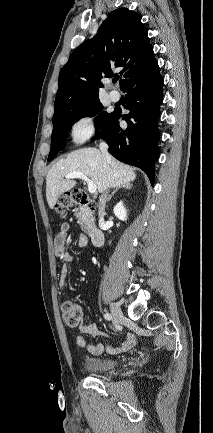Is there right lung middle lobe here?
Instances as JSON below:
<instances>
[{
  "mask_svg": "<svg viewBox=\"0 0 213 433\" xmlns=\"http://www.w3.org/2000/svg\"><path fill=\"white\" fill-rule=\"evenodd\" d=\"M103 109L99 97L83 103L77 104L63 110L59 115L53 117V131L51 137V149L48 156V161L52 160L59 150L65 148V140L68 137V132L72 125L83 117H92L97 115ZM112 113L105 111L99 113L95 118L97 128L104 129L107 125Z\"/></svg>",
  "mask_w": 213,
  "mask_h": 433,
  "instance_id": "obj_1",
  "label": "right lung middle lobe"
}]
</instances>
